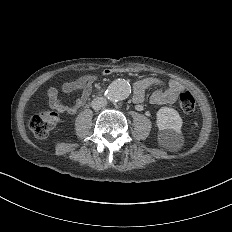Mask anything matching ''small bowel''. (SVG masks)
Returning <instances> with one entry per match:
<instances>
[{
	"label": "small bowel",
	"mask_w": 232,
	"mask_h": 232,
	"mask_svg": "<svg viewBox=\"0 0 232 232\" xmlns=\"http://www.w3.org/2000/svg\"><path fill=\"white\" fill-rule=\"evenodd\" d=\"M136 70L133 68H111L104 70L105 76H115V75H129L135 73ZM93 75H86L79 80L72 82H67L62 86L64 93H71L76 89H82L81 96L73 104L61 102L57 96V89L55 87H50L48 89V95L52 100L53 106L61 112L74 113L81 109L86 100L92 93V84L94 82ZM163 81L158 77H148L139 80L134 85V94L132 96V101L134 103H141L145 97V91L147 88H156L157 91L151 96V103L157 104L162 102H173L177 98L178 94L181 93L185 87L184 84L179 81H172L167 89H162Z\"/></svg>",
	"instance_id": "obj_1"
}]
</instances>
